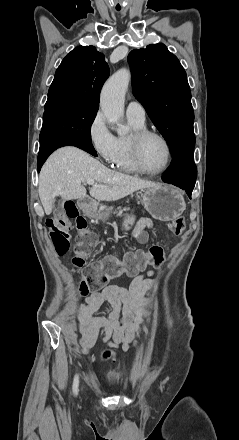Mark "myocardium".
<instances>
[{
    "label": "myocardium",
    "instance_id": "myocardium-1",
    "mask_svg": "<svg viewBox=\"0 0 239 440\" xmlns=\"http://www.w3.org/2000/svg\"><path fill=\"white\" fill-rule=\"evenodd\" d=\"M150 136H154L159 138L165 145L167 150V162L165 166L158 170V171H149L145 168L143 165L142 159H141V146L143 141ZM129 147H130V154L131 159L133 162L134 167L136 170L142 174H145L147 176L155 177L164 174L171 166L172 159H173V150L172 145L169 141V139L159 132L158 130L142 127L137 129L129 139Z\"/></svg>",
    "mask_w": 239,
    "mask_h": 440
}]
</instances>
